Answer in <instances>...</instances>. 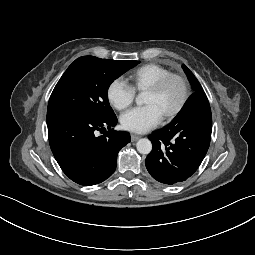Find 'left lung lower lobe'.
I'll return each instance as SVG.
<instances>
[{"instance_id":"obj_1","label":"left lung lower lobe","mask_w":255,"mask_h":255,"mask_svg":"<svg viewBox=\"0 0 255 255\" xmlns=\"http://www.w3.org/2000/svg\"><path fill=\"white\" fill-rule=\"evenodd\" d=\"M212 115L206 94L194 92L172 122L149 135L145 160L150 175L164 184L185 181L200 166L210 145Z\"/></svg>"}]
</instances>
